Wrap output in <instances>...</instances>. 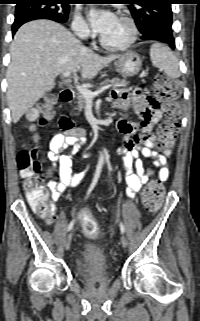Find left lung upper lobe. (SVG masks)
<instances>
[{
  "mask_svg": "<svg viewBox=\"0 0 200 321\" xmlns=\"http://www.w3.org/2000/svg\"><path fill=\"white\" fill-rule=\"evenodd\" d=\"M142 34L172 32L173 0H125Z\"/></svg>",
  "mask_w": 200,
  "mask_h": 321,
  "instance_id": "1",
  "label": "left lung upper lobe"
}]
</instances>
